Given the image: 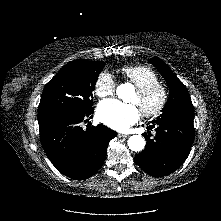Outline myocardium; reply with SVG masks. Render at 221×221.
<instances>
[{
    "instance_id": "myocardium-1",
    "label": "myocardium",
    "mask_w": 221,
    "mask_h": 221,
    "mask_svg": "<svg viewBox=\"0 0 221 221\" xmlns=\"http://www.w3.org/2000/svg\"><path fill=\"white\" fill-rule=\"evenodd\" d=\"M136 95L140 101L139 107L143 116L155 118L165 109L169 93L167 88L160 82L151 83L143 87L136 88ZM158 95V101L153 107H148L144 103L153 95Z\"/></svg>"
}]
</instances>
